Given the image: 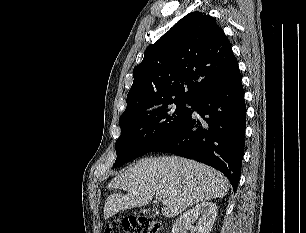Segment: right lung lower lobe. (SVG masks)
I'll return each mask as SVG.
<instances>
[{
  "instance_id": "right-lung-lower-lobe-1",
  "label": "right lung lower lobe",
  "mask_w": 306,
  "mask_h": 233,
  "mask_svg": "<svg viewBox=\"0 0 306 233\" xmlns=\"http://www.w3.org/2000/svg\"><path fill=\"white\" fill-rule=\"evenodd\" d=\"M154 151L197 160L223 172L237 190L244 154L246 105L239 73L229 83L211 91ZM196 111L200 119L192 116Z\"/></svg>"
}]
</instances>
